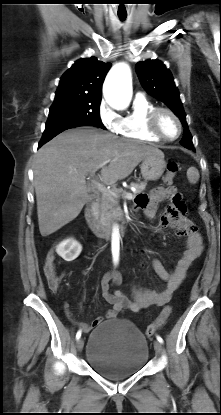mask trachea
<instances>
[{"label":"trachea","instance_id":"trachea-1","mask_svg":"<svg viewBox=\"0 0 221 415\" xmlns=\"http://www.w3.org/2000/svg\"><path fill=\"white\" fill-rule=\"evenodd\" d=\"M120 20H125L126 19V15H119Z\"/></svg>","mask_w":221,"mask_h":415}]
</instances>
